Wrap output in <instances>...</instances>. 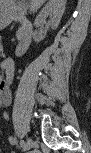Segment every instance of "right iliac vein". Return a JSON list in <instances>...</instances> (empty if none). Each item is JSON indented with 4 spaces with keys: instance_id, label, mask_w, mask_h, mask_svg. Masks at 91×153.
Segmentation results:
<instances>
[{
    "instance_id": "1",
    "label": "right iliac vein",
    "mask_w": 91,
    "mask_h": 153,
    "mask_svg": "<svg viewBox=\"0 0 91 153\" xmlns=\"http://www.w3.org/2000/svg\"><path fill=\"white\" fill-rule=\"evenodd\" d=\"M31 146H32V140H31V138H28L27 142H26V146L24 147V150L25 151L29 150L31 148Z\"/></svg>"
}]
</instances>
